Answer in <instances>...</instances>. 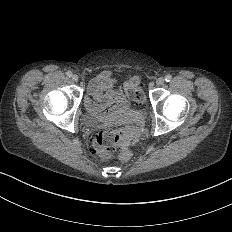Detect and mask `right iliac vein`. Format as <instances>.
Masks as SVG:
<instances>
[{
    "mask_svg": "<svg viewBox=\"0 0 232 232\" xmlns=\"http://www.w3.org/2000/svg\"><path fill=\"white\" fill-rule=\"evenodd\" d=\"M72 81H73L74 83H77V82L79 81V76H78V75H73V76H72Z\"/></svg>",
    "mask_w": 232,
    "mask_h": 232,
    "instance_id": "1",
    "label": "right iliac vein"
}]
</instances>
